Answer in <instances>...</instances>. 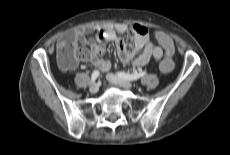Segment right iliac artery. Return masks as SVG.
<instances>
[{
    "instance_id": "82829eb1",
    "label": "right iliac artery",
    "mask_w": 230,
    "mask_h": 155,
    "mask_svg": "<svg viewBox=\"0 0 230 155\" xmlns=\"http://www.w3.org/2000/svg\"><path fill=\"white\" fill-rule=\"evenodd\" d=\"M100 72L98 70L93 71L92 75H91V80H90V84H93L96 79L99 77Z\"/></svg>"
}]
</instances>
